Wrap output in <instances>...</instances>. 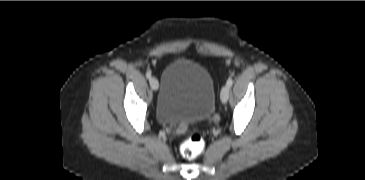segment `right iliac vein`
I'll list each match as a JSON object with an SVG mask.
<instances>
[{"instance_id": "obj_1", "label": "right iliac vein", "mask_w": 365, "mask_h": 180, "mask_svg": "<svg viewBox=\"0 0 365 180\" xmlns=\"http://www.w3.org/2000/svg\"><path fill=\"white\" fill-rule=\"evenodd\" d=\"M150 86L154 91H157L159 88V83L158 80L156 78H150Z\"/></svg>"}]
</instances>
